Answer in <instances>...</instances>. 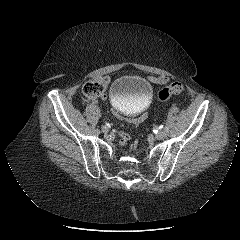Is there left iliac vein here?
<instances>
[{
  "label": "left iliac vein",
  "mask_w": 240,
  "mask_h": 240,
  "mask_svg": "<svg viewBox=\"0 0 240 240\" xmlns=\"http://www.w3.org/2000/svg\"><path fill=\"white\" fill-rule=\"evenodd\" d=\"M167 134H168V130L165 133L162 132V130H159V132L155 135V138L156 139H163L167 136Z\"/></svg>",
  "instance_id": "1"
}]
</instances>
